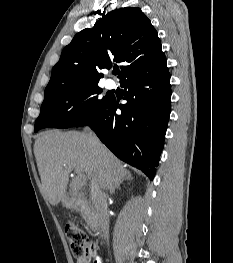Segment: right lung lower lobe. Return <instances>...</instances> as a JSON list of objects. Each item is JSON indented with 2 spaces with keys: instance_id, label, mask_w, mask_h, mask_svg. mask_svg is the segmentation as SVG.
<instances>
[{
  "instance_id": "right-lung-lower-lobe-1",
  "label": "right lung lower lobe",
  "mask_w": 233,
  "mask_h": 263,
  "mask_svg": "<svg viewBox=\"0 0 233 263\" xmlns=\"http://www.w3.org/2000/svg\"><path fill=\"white\" fill-rule=\"evenodd\" d=\"M128 89L118 103L114 97L76 125H88L121 160L142 170L153 180L170 116L171 85L167 66L153 73L121 81ZM120 109L121 114L116 110Z\"/></svg>"
}]
</instances>
